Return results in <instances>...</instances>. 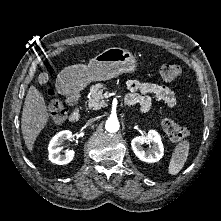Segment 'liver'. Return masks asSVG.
<instances>
[{"label":"liver","instance_id":"liver-1","mask_svg":"<svg viewBox=\"0 0 221 221\" xmlns=\"http://www.w3.org/2000/svg\"><path fill=\"white\" fill-rule=\"evenodd\" d=\"M49 121V113L41 92L30 86L21 118V130L27 149L31 152L36 138Z\"/></svg>","mask_w":221,"mask_h":221}]
</instances>
